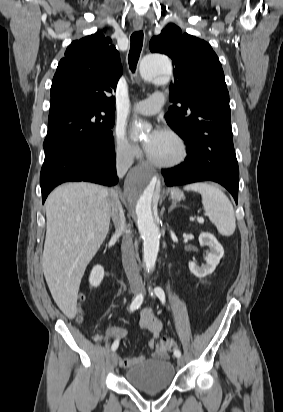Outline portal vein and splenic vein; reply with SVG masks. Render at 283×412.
<instances>
[{"instance_id": "portal-vein-and-splenic-vein-1", "label": "portal vein and splenic vein", "mask_w": 283, "mask_h": 412, "mask_svg": "<svg viewBox=\"0 0 283 412\" xmlns=\"http://www.w3.org/2000/svg\"><path fill=\"white\" fill-rule=\"evenodd\" d=\"M197 221H198L199 223H204V219H203L202 217H198V218H197Z\"/></svg>"}]
</instances>
